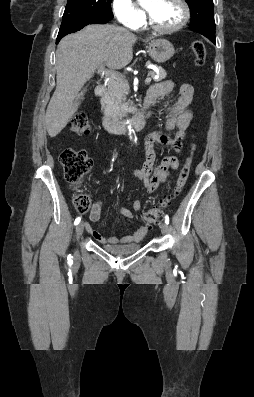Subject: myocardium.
<instances>
[{
	"mask_svg": "<svg viewBox=\"0 0 254 397\" xmlns=\"http://www.w3.org/2000/svg\"><path fill=\"white\" fill-rule=\"evenodd\" d=\"M182 8V17L181 20L174 26L172 27H160L158 25L155 24V22L153 21L151 15L149 14V12L147 11V24L148 26L158 32V33H163V34H169V33H174L179 31L180 29H182L186 23L188 22L189 16H190V10H189V6L186 3L185 0H175Z\"/></svg>",
	"mask_w": 254,
	"mask_h": 397,
	"instance_id": "myocardium-1",
	"label": "myocardium"
}]
</instances>
